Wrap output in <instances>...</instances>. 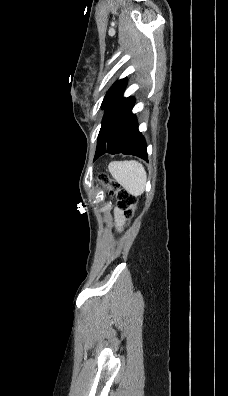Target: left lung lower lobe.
<instances>
[{
	"mask_svg": "<svg viewBox=\"0 0 228 396\" xmlns=\"http://www.w3.org/2000/svg\"><path fill=\"white\" fill-rule=\"evenodd\" d=\"M133 106V98H123L121 95L106 110L94 160L105 152L131 154L147 160V144L138 130Z\"/></svg>",
	"mask_w": 228,
	"mask_h": 396,
	"instance_id": "1",
	"label": "left lung lower lobe"
}]
</instances>
